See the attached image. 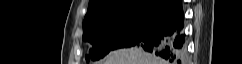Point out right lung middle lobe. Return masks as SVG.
Returning <instances> with one entry per match:
<instances>
[{
    "instance_id": "right-lung-middle-lobe-1",
    "label": "right lung middle lobe",
    "mask_w": 242,
    "mask_h": 64,
    "mask_svg": "<svg viewBox=\"0 0 242 64\" xmlns=\"http://www.w3.org/2000/svg\"><path fill=\"white\" fill-rule=\"evenodd\" d=\"M163 14L147 9L101 16L83 25V40L92 48L86 60H99L110 51L137 45L159 22Z\"/></svg>"
}]
</instances>
